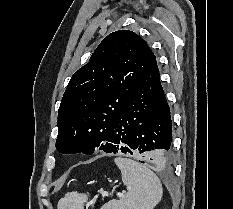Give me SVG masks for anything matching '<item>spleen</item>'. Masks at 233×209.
Wrapping results in <instances>:
<instances>
[{
  "instance_id": "obj_1",
  "label": "spleen",
  "mask_w": 233,
  "mask_h": 209,
  "mask_svg": "<svg viewBox=\"0 0 233 209\" xmlns=\"http://www.w3.org/2000/svg\"><path fill=\"white\" fill-rule=\"evenodd\" d=\"M121 171L122 181L128 192L119 200H111L101 209H153L162 198V184L159 178L146 166L128 158H115ZM88 196L70 192L58 202V209H84Z\"/></svg>"
}]
</instances>
